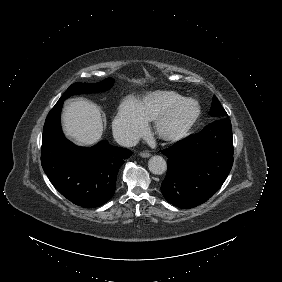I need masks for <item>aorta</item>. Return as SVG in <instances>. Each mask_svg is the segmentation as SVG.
I'll use <instances>...</instances> for the list:
<instances>
[{"label":"aorta","mask_w":282,"mask_h":282,"mask_svg":"<svg viewBox=\"0 0 282 282\" xmlns=\"http://www.w3.org/2000/svg\"><path fill=\"white\" fill-rule=\"evenodd\" d=\"M148 168L154 174H162L166 171L167 164L162 156L153 155L148 160Z\"/></svg>","instance_id":"aorta-1"}]
</instances>
